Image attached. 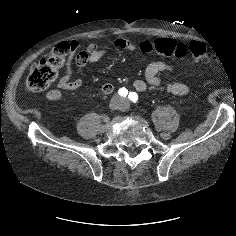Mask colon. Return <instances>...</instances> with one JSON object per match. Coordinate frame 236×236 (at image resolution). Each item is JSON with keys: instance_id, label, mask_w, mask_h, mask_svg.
I'll list each match as a JSON object with an SVG mask.
<instances>
[{"instance_id": "5ec220e1", "label": "colon", "mask_w": 236, "mask_h": 236, "mask_svg": "<svg viewBox=\"0 0 236 236\" xmlns=\"http://www.w3.org/2000/svg\"><path fill=\"white\" fill-rule=\"evenodd\" d=\"M143 53L157 52L168 57L182 58L188 51L196 62L204 63L209 60L205 45L200 41H191L188 46L171 39H158L155 42L146 41L141 47ZM68 43L58 44L46 58L35 62L28 73L26 88L30 92H39L48 88L59 76V73L72 55Z\"/></svg>"}]
</instances>
